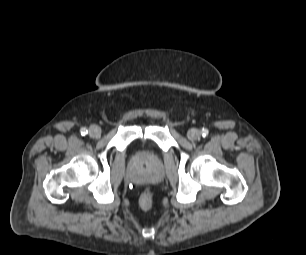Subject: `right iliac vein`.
<instances>
[{
	"label": "right iliac vein",
	"mask_w": 306,
	"mask_h": 255,
	"mask_svg": "<svg viewBox=\"0 0 306 255\" xmlns=\"http://www.w3.org/2000/svg\"><path fill=\"white\" fill-rule=\"evenodd\" d=\"M101 134V128L97 125H91L89 128V136L91 138H97Z\"/></svg>",
	"instance_id": "1"
}]
</instances>
